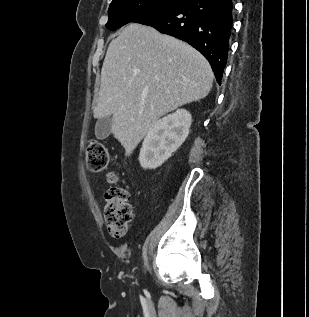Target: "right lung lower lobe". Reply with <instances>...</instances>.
Wrapping results in <instances>:
<instances>
[{
  "label": "right lung lower lobe",
  "mask_w": 309,
  "mask_h": 317,
  "mask_svg": "<svg viewBox=\"0 0 309 317\" xmlns=\"http://www.w3.org/2000/svg\"><path fill=\"white\" fill-rule=\"evenodd\" d=\"M232 11V0H185L132 22L152 26L189 43L209 61L221 84L232 33Z\"/></svg>",
  "instance_id": "98d812e1"
}]
</instances>
